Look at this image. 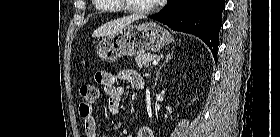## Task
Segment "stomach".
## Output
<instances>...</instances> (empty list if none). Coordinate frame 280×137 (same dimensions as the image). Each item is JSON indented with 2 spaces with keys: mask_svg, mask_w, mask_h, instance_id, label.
Listing matches in <instances>:
<instances>
[{
  "mask_svg": "<svg viewBox=\"0 0 280 137\" xmlns=\"http://www.w3.org/2000/svg\"><path fill=\"white\" fill-rule=\"evenodd\" d=\"M172 41L171 34L155 22L129 25L103 39L97 54L105 62H115L124 56L141 55L146 51L158 52Z\"/></svg>",
  "mask_w": 280,
  "mask_h": 137,
  "instance_id": "0dacf381",
  "label": "stomach"
}]
</instances>
